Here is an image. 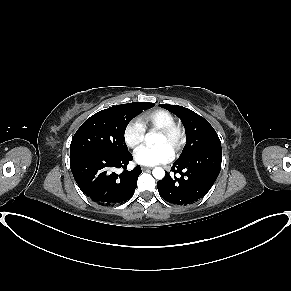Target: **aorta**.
Listing matches in <instances>:
<instances>
[{"label": "aorta", "instance_id": "obj_1", "mask_svg": "<svg viewBox=\"0 0 291 291\" xmlns=\"http://www.w3.org/2000/svg\"><path fill=\"white\" fill-rule=\"evenodd\" d=\"M145 140H146L147 144L152 145L158 140V134L150 132V133L146 134ZM152 174H153L154 178L161 180L165 176V171L161 167H156L153 169Z\"/></svg>", "mask_w": 291, "mask_h": 291}]
</instances>
